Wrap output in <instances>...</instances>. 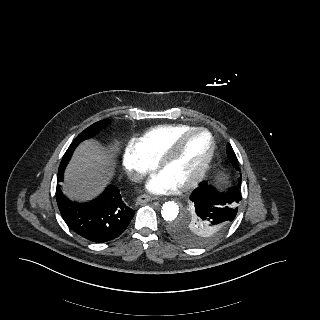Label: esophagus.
I'll use <instances>...</instances> for the list:
<instances>
[{"instance_id":"esophagus-1","label":"esophagus","mask_w":320,"mask_h":320,"mask_svg":"<svg viewBox=\"0 0 320 320\" xmlns=\"http://www.w3.org/2000/svg\"><path fill=\"white\" fill-rule=\"evenodd\" d=\"M152 198L148 195H141L136 199V203L137 204H143V203H147L149 201H151Z\"/></svg>"}]
</instances>
